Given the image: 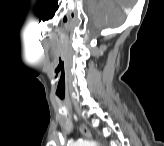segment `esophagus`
<instances>
[{
    "mask_svg": "<svg viewBox=\"0 0 164 146\" xmlns=\"http://www.w3.org/2000/svg\"><path fill=\"white\" fill-rule=\"evenodd\" d=\"M80 130H81L82 134H83L86 138H89V139L92 138V134H91L90 130L87 128L86 125L81 124V125H80Z\"/></svg>",
    "mask_w": 164,
    "mask_h": 146,
    "instance_id": "34e87169",
    "label": "esophagus"
}]
</instances>
